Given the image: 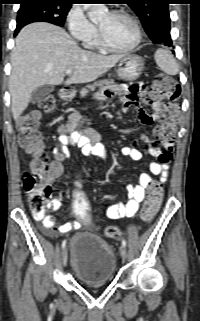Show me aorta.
Masks as SVG:
<instances>
[{
  "mask_svg": "<svg viewBox=\"0 0 200 321\" xmlns=\"http://www.w3.org/2000/svg\"><path fill=\"white\" fill-rule=\"evenodd\" d=\"M88 16L91 21L96 22L102 17H104L108 9L105 4H85Z\"/></svg>",
  "mask_w": 200,
  "mask_h": 321,
  "instance_id": "aorta-1",
  "label": "aorta"
}]
</instances>
